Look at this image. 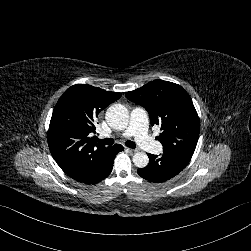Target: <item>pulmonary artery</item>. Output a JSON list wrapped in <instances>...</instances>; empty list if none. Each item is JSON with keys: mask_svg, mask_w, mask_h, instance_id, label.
<instances>
[{"mask_svg": "<svg viewBox=\"0 0 251 251\" xmlns=\"http://www.w3.org/2000/svg\"><path fill=\"white\" fill-rule=\"evenodd\" d=\"M148 112L142 106L135 107L130 115V131L129 129L124 130L120 134H117L119 137L132 138L135 142L142 146L145 152L149 154H158L162 150V145L158 141H154L150 135L148 127Z\"/></svg>", "mask_w": 251, "mask_h": 251, "instance_id": "1", "label": "pulmonary artery"}]
</instances>
